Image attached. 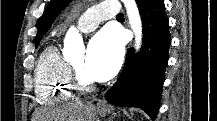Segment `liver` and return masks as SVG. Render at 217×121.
Returning a JSON list of instances; mask_svg holds the SVG:
<instances>
[{
  "instance_id": "obj_1",
  "label": "liver",
  "mask_w": 217,
  "mask_h": 121,
  "mask_svg": "<svg viewBox=\"0 0 217 121\" xmlns=\"http://www.w3.org/2000/svg\"><path fill=\"white\" fill-rule=\"evenodd\" d=\"M96 109L93 105L80 101L57 109L41 112V121H95Z\"/></svg>"
}]
</instances>
